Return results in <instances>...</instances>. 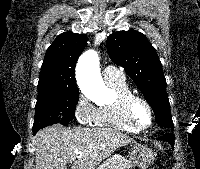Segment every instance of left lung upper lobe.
<instances>
[{"label":"left lung upper lobe","instance_id":"1","mask_svg":"<svg viewBox=\"0 0 200 169\" xmlns=\"http://www.w3.org/2000/svg\"><path fill=\"white\" fill-rule=\"evenodd\" d=\"M106 44L110 59L124 68L149 102L158 125L173 129L162 64L146 36L135 30L118 31Z\"/></svg>","mask_w":200,"mask_h":169}]
</instances>
